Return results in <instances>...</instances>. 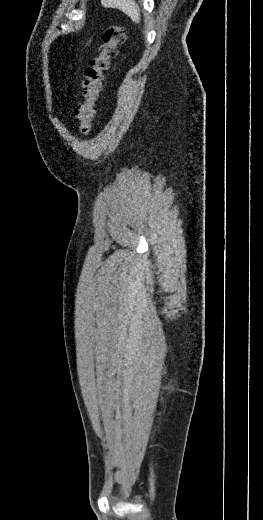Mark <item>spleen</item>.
<instances>
[{"mask_svg": "<svg viewBox=\"0 0 263 520\" xmlns=\"http://www.w3.org/2000/svg\"><path fill=\"white\" fill-rule=\"evenodd\" d=\"M106 8H117L128 15L135 23H140V9L134 0H101Z\"/></svg>", "mask_w": 263, "mask_h": 520, "instance_id": "spleen-1", "label": "spleen"}]
</instances>
